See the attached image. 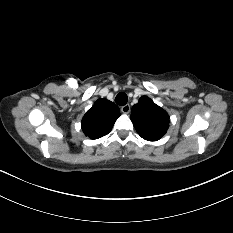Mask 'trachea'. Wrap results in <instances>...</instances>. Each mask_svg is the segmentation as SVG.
I'll return each instance as SVG.
<instances>
[{
  "label": "trachea",
  "instance_id": "1",
  "mask_svg": "<svg viewBox=\"0 0 233 233\" xmlns=\"http://www.w3.org/2000/svg\"><path fill=\"white\" fill-rule=\"evenodd\" d=\"M128 101V97L125 93L121 92L115 97V102L119 106H124Z\"/></svg>",
  "mask_w": 233,
  "mask_h": 233
}]
</instances>
